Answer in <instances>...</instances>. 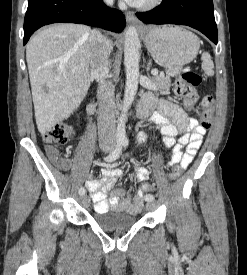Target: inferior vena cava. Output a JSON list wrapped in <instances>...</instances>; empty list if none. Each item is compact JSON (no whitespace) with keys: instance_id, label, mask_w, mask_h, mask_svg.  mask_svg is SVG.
Listing matches in <instances>:
<instances>
[{"instance_id":"inferior-vena-cava-1","label":"inferior vena cava","mask_w":247,"mask_h":275,"mask_svg":"<svg viewBox=\"0 0 247 275\" xmlns=\"http://www.w3.org/2000/svg\"><path fill=\"white\" fill-rule=\"evenodd\" d=\"M108 6L113 5V0H104ZM113 49L112 41L104 37L99 31L94 30L90 36V66L91 75L99 82L97 96L99 101L98 133L99 143L102 146H115V98L114 87L106 81L109 73L108 56Z\"/></svg>"}]
</instances>
